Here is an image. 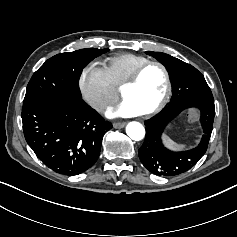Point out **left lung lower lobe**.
Segmentation results:
<instances>
[{"label": "left lung lower lobe", "mask_w": 237, "mask_h": 237, "mask_svg": "<svg viewBox=\"0 0 237 237\" xmlns=\"http://www.w3.org/2000/svg\"><path fill=\"white\" fill-rule=\"evenodd\" d=\"M190 107H196L201 112V124H204L207 128L208 132H212L213 129V121L215 116V106L214 102H202V103H195V104H189V105H178L175 106L172 109H169L167 111H164L163 113L166 114V117L171 118V120L177 116L181 111L190 108ZM198 162V160H195L193 163L194 165Z\"/></svg>", "instance_id": "obj_1"}]
</instances>
